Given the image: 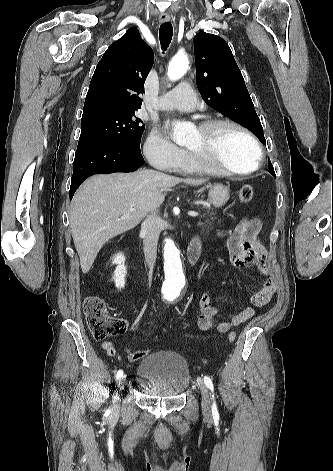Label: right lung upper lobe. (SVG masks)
Segmentation results:
<instances>
[{"instance_id": "obj_1", "label": "right lung upper lobe", "mask_w": 333, "mask_h": 471, "mask_svg": "<svg viewBox=\"0 0 333 471\" xmlns=\"http://www.w3.org/2000/svg\"><path fill=\"white\" fill-rule=\"evenodd\" d=\"M154 53L131 27L112 43L99 61L86 95L82 118L141 108L144 82L153 65Z\"/></svg>"}]
</instances>
